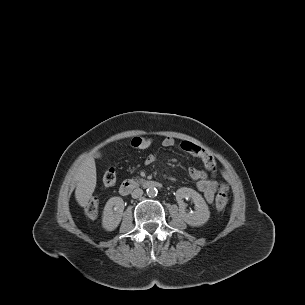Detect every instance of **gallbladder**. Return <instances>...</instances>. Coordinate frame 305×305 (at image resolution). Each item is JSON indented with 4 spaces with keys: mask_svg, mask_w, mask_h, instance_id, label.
Wrapping results in <instances>:
<instances>
[{
    "mask_svg": "<svg viewBox=\"0 0 305 305\" xmlns=\"http://www.w3.org/2000/svg\"><path fill=\"white\" fill-rule=\"evenodd\" d=\"M102 156L101 152L97 151L94 153L95 158H100Z\"/></svg>",
    "mask_w": 305,
    "mask_h": 305,
    "instance_id": "obj_1",
    "label": "gallbladder"
}]
</instances>
